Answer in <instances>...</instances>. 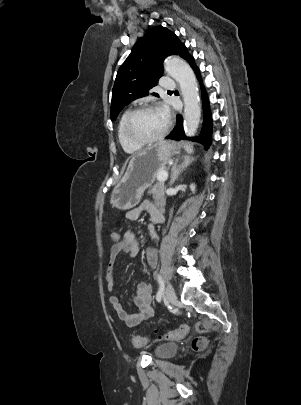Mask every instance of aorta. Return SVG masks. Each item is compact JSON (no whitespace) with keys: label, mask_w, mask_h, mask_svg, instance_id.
Segmentation results:
<instances>
[{"label":"aorta","mask_w":301,"mask_h":405,"mask_svg":"<svg viewBox=\"0 0 301 405\" xmlns=\"http://www.w3.org/2000/svg\"><path fill=\"white\" fill-rule=\"evenodd\" d=\"M166 72L180 85L183 96L184 130L187 136H194L200 122L201 107L199 89L193 70L179 57H170L165 61Z\"/></svg>","instance_id":"1"}]
</instances>
